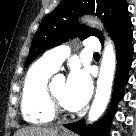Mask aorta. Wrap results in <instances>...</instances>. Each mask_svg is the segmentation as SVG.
<instances>
[{
  "mask_svg": "<svg viewBox=\"0 0 136 136\" xmlns=\"http://www.w3.org/2000/svg\"><path fill=\"white\" fill-rule=\"evenodd\" d=\"M116 67L114 46L110 39L107 40L102 56L100 73L97 81V89L94 101L89 111L90 122L96 121L105 111L110 99L112 82ZM57 78H62L58 76Z\"/></svg>",
  "mask_w": 136,
  "mask_h": 136,
  "instance_id": "obj_1",
  "label": "aorta"
}]
</instances>
